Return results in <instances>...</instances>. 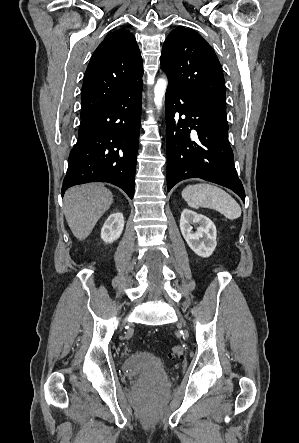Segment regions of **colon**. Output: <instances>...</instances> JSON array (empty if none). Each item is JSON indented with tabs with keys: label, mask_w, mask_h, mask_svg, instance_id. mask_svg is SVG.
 I'll use <instances>...</instances> for the list:
<instances>
[{
	"label": "colon",
	"mask_w": 299,
	"mask_h": 443,
	"mask_svg": "<svg viewBox=\"0 0 299 443\" xmlns=\"http://www.w3.org/2000/svg\"><path fill=\"white\" fill-rule=\"evenodd\" d=\"M169 356L171 358H176V359L182 358V356H183V347L180 346V345H176V346L172 347L171 351L169 353Z\"/></svg>",
	"instance_id": "colon-1"
}]
</instances>
